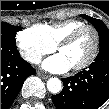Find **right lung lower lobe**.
<instances>
[{
    "label": "right lung lower lobe",
    "instance_id": "98d812e1",
    "mask_svg": "<svg viewBox=\"0 0 109 109\" xmlns=\"http://www.w3.org/2000/svg\"><path fill=\"white\" fill-rule=\"evenodd\" d=\"M35 73V69L19 56L17 48L1 44V109L13 103L25 79Z\"/></svg>",
    "mask_w": 109,
    "mask_h": 109
}]
</instances>
